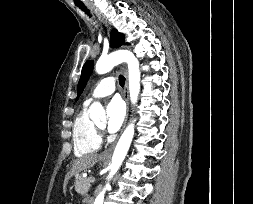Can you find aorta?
Returning a JSON list of instances; mask_svg holds the SVG:
<instances>
[{
    "mask_svg": "<svg viewBox=\"0 0 253 204\" xmlns=\"http://www.w3.org/2000/svg\"><path fill=\"white\" fill-rule=\"evenodd\" d=\"M122 62H126L128 65L130 99L131 102L135 104L137 102L138 95L140 92L141 75L139 70V61L131 51L119 50L107 56L101 57L96 63V72L98 74L107 73L114 66ZM89 114L92 120L106 119L105 110L102 107V105L98 102H95L90 106ZM133 136H134V124L130 123L123 132L122 136L120 137L115 147L110 165V173L107 178L108 181L113 177V175L117 172V170L121 166L128 152ZM109 187L110 185L108 182L105 185L104 189L96 197L94 204H103L105 192Z\"/></svg>",
    "mask_w": 253,
    "mask_h": 204,
    "instance_id": "762f6f07",
    "label": "aorta"
}]
</instances>
